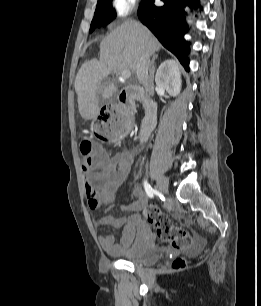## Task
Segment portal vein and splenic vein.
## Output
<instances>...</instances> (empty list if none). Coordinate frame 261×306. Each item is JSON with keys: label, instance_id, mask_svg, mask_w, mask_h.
<instances>
[{"label": "portal vein and splenic vein", "instance_id": "1", "mask_svg": "<svg viewBox=\"0 0 261 306\" xmlns=\"http://www.w3.org/2000/svg\"><path fill=\"white\" fill-rule=\"evenodd\" d=\"M130 76H131V71H130V70H123V71L120 73L119 78L124 79V80H127V79L130 78Z\"/></svg>", "mask_w": 261, "mask_h": 306}]
</instances>
